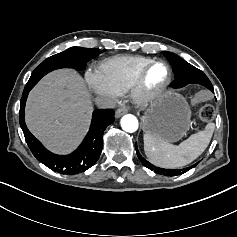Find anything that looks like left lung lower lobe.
<instances>
[{
	"label": "left lung lower lobe",
	"mask_w": 237,
	"mask_h": 237,
	"mask_svg": "<svg viewBox=\"0 0 237 237\" xmlns=\"http://www.w3.org/2000/svg\"><path fill=\"white\" fill-rule=\"evenodd\" d=\"M209 90H211L212 92L214 91L213 88H212V89H209ZM193 167H194V166H193Z\"/></svg>",
	"instance_id": "1"
}]
</instances>
